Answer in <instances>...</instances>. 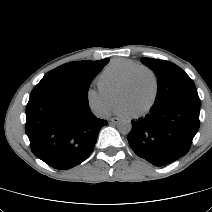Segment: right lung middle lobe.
I'll use <instances>...</instances> for the list:
<instances>
[{"instance_id":"obj_1","label":"right lung middle lobe","mask_w":212,"mask_h":212,"mask_svg":"<svg viewBox=\"0 0 212 212\" xmlns=\"http://www.w3.org/2000/svg\"><path fill=\"white\" fill-rule=\"evenodd\" d=\"M109 59L75 61L61 65L44 75L31 95L38 93L66 94L88 102V89L92 79Z\"/></svg>"}]
</instances>
